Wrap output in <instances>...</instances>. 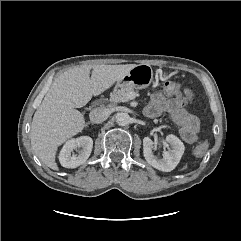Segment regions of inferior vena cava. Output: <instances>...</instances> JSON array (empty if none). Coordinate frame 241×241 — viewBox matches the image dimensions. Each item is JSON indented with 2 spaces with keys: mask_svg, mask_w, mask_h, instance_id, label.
Segmentation results:
<instances>
[{
  "mask_svg": "<svg viewBox=\"0 0 241 241\" xmlns=\"http://www.w3.org/2000/svg\"><path fill=\"white\" fill-rule=\"evenodd\" d=\"M109 117V112L104 108H96L93 109L90 114L89 118L92 123H102Z\"/></svg>",
  "mask_w": 241,
  "mask_h": 241,
  "instance_id": "602c4592",
  "label": "inferior vena cava"
}]
</instances>
